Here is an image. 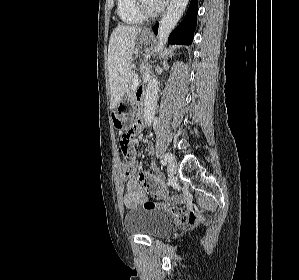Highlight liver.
Returning <instances> with one entry per match:
<instances>
[{
	"label": "liver",
	"instance_id": "obj_1",
	"mask_svg": "<svg viewBox=\"0 0 299 280\" xmlns=\"http://www.w3.org/2000/svg\"><path fill=\"white\" fill-rule=\"evenodd\" d=\"M140 27L118 25L112 32L108 46L110 81V109H114L125 94L131 79V61Z\"/></svg>",
	"mask_w": 299,
	"mask_h": 280
}]
</instances>
